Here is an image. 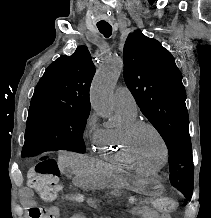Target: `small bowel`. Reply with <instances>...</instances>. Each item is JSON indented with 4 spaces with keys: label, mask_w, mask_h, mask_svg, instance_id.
Returning a JSON list of instances; mask_svg holds the SVG:
<instances>
[{
    "label": "small bowel",
    "mask_w": 211,
    "mask_h": 218,
    "mask_svg": "<svg viewBox=\"0 0 211 218\" xmlns=\"http://www.w3.org/2000/svg\"><path fill=\"white\" fill-rule=\"evenodd\" d=\"M21 200L23 205L26 207H34L35 200H34V193L30 188L24 187L21 190ZM87 204L89 206H95L96 202L88 201ZM134 212L140 215H144L147 218H161L158 212L150 207H136L134 208ZM46 218H58L59 217V210L56 207H49L46 209Z\"/></svg>",
    "instance_id": "1"
}]
</instances>
